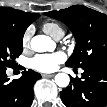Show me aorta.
Instances as JSON below:
<instances>
[{
  "label": "aorta",
  "mask_w": 107,
  "mask_h": 107,
  "mask_svg": "<svg viewBox=\"0 0 107 107\" xmlns=\"http://www.w3.org/2000/svg\"><path fill=\"white\" fill-rule=\"evenodd\" d=\"M31 48L35 52L52 51L55 48V42L46 35H36L31 40ZM70 82V77L66 73H58L55 76V83L59 87H67Z\"/></svg>",
  "instance_id": "1"
}]
</instances>
